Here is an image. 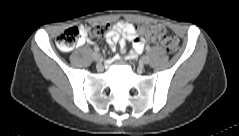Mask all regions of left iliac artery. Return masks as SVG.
<instances>
[{"instance_id":"1","label":"left iliac artery","mask_w":239,"mask_h":136,"mask_svg":"<svg viewBox=\"0 0 239 136\" xmlns=\"http://www.w3.org/2000/svg\"><path fill=\"white\" fill-rule=\"evenodd\" d=\"M150 49V47L149 46H146V50L148 51Z\"/></svg>"}]
</instances>
